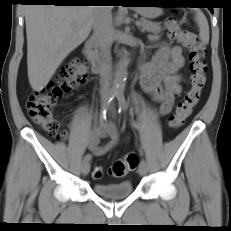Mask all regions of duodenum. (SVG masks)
I'll list each match as a JSON object with an SVG mask.
<instances>
[{
	"label": "duodenum",
	"instance_id": "duodenum-1",
	"mask_svg": "<svg viewBox=\"0 0 231 231\" xmlns=\"http://www.w3.org/2000/svg\"><path fill=\"white\" fill-rule=\"evenodd\" d=\"M84 54L92 66L93 73L102 74L104 72V67L94 40H88L85 43Z\"/></svg>",
	"mask_w": 231,
	"mask_h": 231
}]
</instances>
